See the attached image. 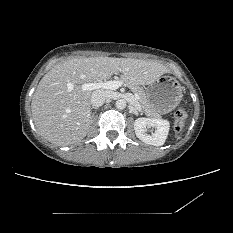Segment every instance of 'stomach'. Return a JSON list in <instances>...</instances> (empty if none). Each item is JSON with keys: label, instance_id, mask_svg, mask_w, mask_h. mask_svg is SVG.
<instances>
[{"label": "stomach", "instance_id": "1", "mask_svg": "<svg viewBox=\"0 0 233 233\" xmlns=\"http://www.w3.org/2000/svg\"><path fill=\"white\" fill-rule=\"evenodd\" d=\"M147 103L156 112L165 114L174 110L182 99L179 81L169 75L161 76L148 84L145 90Z\"/></svg>", "mask_w": 233, "mask_h": 233}]
</instances>
